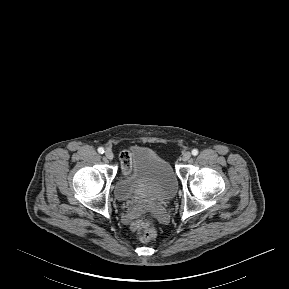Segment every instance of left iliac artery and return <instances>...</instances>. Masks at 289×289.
Returning <instances> with one entry per match:
<instances>
[{
	"mask_svg": "<svg viewBox=\"0 0 289 289\" xmlns=\"http://www.w3.org/2000/svg\"><path fill=\"white\" fill-rule=\"evenodd\" d=\"M192 155H193V156L198 155V150H197V149H193V150H192Z\"/></svg>",
	"mask_w": 289,
	"mask_h": 289,
	"instance_id": "1",
	"label": "left iliac artery"
}]
</instances>
